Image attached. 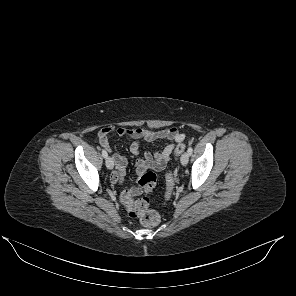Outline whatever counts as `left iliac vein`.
Here are the masks:
<instances>
[{"instance_id":"1","label":"left iliac vein","mask_w":296,"mask_h":296,"mask_svg":"<svg viewBox=\"0 0 296 296\" xmlns=\"http://www.w3.org/2000/svg\"><path fill=\"white\" fill-rule=\"evenodd\" d=\"M180 160H181V164H182L183 166H186V165L188 164V161H189V154H188V152H184V153L182 154Z\"/></svg>"}]
</instances>
